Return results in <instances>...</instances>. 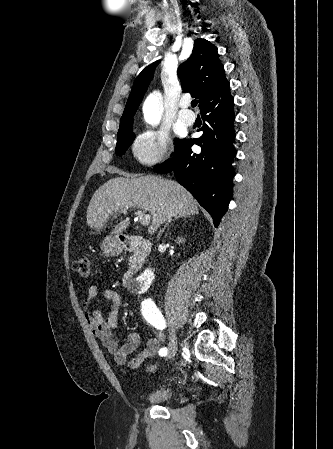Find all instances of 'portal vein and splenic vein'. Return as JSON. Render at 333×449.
Returning <instances> with one entry per match:
<instances>
[{"label": "portal vein and splenic vein", "mask_w": 333, "mask_h": 449, "mask_svg": "<svg viewBox=\"0 0 333 449\" xmlns=\"http://www.w3.org/2000/svg\"><path fill=\"white\" fill-rule=\"evenodd\" d=\"M136 214H137V216L139 217L140 223H141L143 226L149 225L150 220H151L150 215L144 214L141 210H138V211L136 212Z\"/></svg>", "instance_id": "18ae733b"}]
</instances>
